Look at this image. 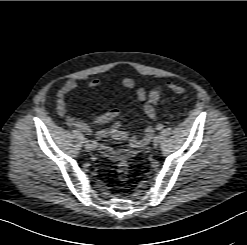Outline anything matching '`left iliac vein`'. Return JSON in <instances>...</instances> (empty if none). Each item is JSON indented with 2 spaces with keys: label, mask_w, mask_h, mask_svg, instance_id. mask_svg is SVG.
Instances as JSON below:
<instances>
[{
  "label": "left iliac vein",
  "mask_w": 247,
  "mask_h": 245,
  "mask_svg": "<svg viewBox=\"0 0 247 245\" xmlns=\"http://www.w3.org/2000/svg\"><path fill=\"white\" fill-rule=\"evenodd\" d=\"M159 142H160V137H159V136H156V137L154 138V140H153V146H154V147H157L158 144H159Z\"/></svg>",
  "instance_id": "obj_1"
}]
</instances>
